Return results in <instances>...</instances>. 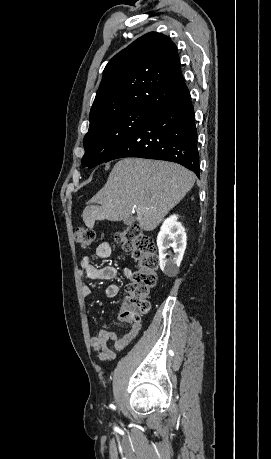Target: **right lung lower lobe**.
<instances>
[{"mask_svg":"<svg viewBox=\"0 0 271 459\" xmlns=\"http://www.w3.org/2000/svg\"><path fill=\"white\" fill-rule=\"evenodd\" d=\"M195 113L186 87L159 107L105 162L139 157L179 163L199 176Z\"/></svg>","mask_w":271,"mask_h":459,"instance_id":"right-lung-lower-lobe-1","label":"right lung lower lobe"}]
</instances>
